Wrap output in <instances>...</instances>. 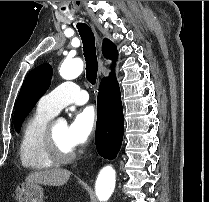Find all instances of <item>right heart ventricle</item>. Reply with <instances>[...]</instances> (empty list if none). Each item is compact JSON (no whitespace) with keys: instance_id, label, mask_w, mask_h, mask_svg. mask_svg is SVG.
I'll use <instances>...</instances> for the list:
<instances>
[{"instance_id":"obj_1","label":"right heart ventricle","mask_w":209,"mask_h":202,"mask_svg":"<svg viewBox=\"0 0 209 202\" xmlns=\"http://www.w3.org/2000/svg\"><path fill=\"white\" fill-rule=\"evenodd\" d=\"M53 116L39 107L23 124L18 153L25 167L41 170L53 166L54 159L44 144V132Z\"/></svg>"}]
</instances>
